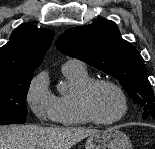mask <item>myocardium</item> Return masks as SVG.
Here are the masks:
<instances>
[{
	"label": "myocardium",
	"mask_w": 155,
	"mask_h": 149,
	"mask_svg": "<svg viewBox=\"0 0 155 149\" xmlns=\"http://www.w3.org/2000/svg\"><path fill=\"white\" fill-rule=\"evenodd\" d=\"M99 85L111 86L117 91V93L121 98L122 110L120 114L113 119L109 120L100 119L99 117H97V115L94 113L91 107V94L93 90ZM77 101L79 109L82 115L86 118V120L88 122L98 125H113L115 123H118L119 121L123 120L126 117L129 109L128 99L122 87L116 82L104 78L91 79L86 84H84L78 92Z\"/></svg>",
	"instance_id": "obj_1"
}]
</instances>
